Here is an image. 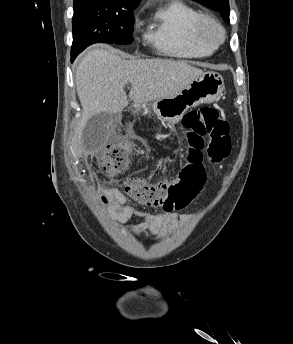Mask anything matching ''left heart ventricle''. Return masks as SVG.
<instances>
[{"mask_svg": "<svg viewBox=\"0 0 293 344\" xmlns=\"http://www.w3.org/2000/svg\"><path fill=\"white\" fill-rule=\"evenodd\" d=\"M209 36H213V32L212 31H209Z\"/></svg>", "mask_w": 293, "mask_h": 344, "instance_id": "left-heart-ventricle-1", "label": "left heart ventricle"}]
</instances>
